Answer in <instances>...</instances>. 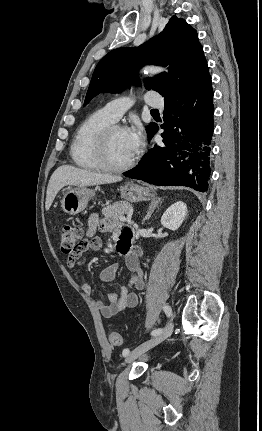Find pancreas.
Masks as SVG:
<instances>
[{"mask_svg": "<svg viewBox=\"0 0 262 431\" xmlns=\"http://www.w3.org/2000/svg\"><path fill=\"white\" fill-rule=\"evenodd\" d=\"M130 204L125 201L115 202L112 205H108L102 209V214L109 219L116 222L117 225H122L120 217L124 214H128L130 210Z\"/></svg>", "mask_w": 262, "mask_h": 431, "instance_id": "cf45deb5", "label": "pancreas"}]
</instances>
